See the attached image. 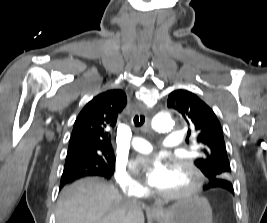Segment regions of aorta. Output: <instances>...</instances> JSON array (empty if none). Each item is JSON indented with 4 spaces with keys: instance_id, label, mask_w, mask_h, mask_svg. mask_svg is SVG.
<instances>
[{
    "instance_id": "762f6f07",
    "label": "aorta",
    "mask_w": 267,
    "mask_h": 223,
    "mask_svg": "<svg viewBox=\"0 0 267 223\" xmlns=\"http://www.w3.org/2000/svg\"><path fill=\"white\" fill-rule=\"evenodd\" d=\"M174 124V120L171 116L158 117L153 121V127L161 132L172 130Z\"/></svg>"
}]
</instances>
